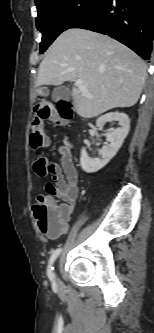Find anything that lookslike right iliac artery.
Returning <instances> with one entry per match:
<instances>
[{
	"label": "right iliac artery",
	"instance_id": "82829eb1",
	"mask_svg": "<svg viewBox=\"0 0 154 333\" xmlns=\"http://www.w3.org/2000/svg\"><path fill=\"white\" fill-rule=\"evenodd\" d=\"M61 250H62L61 248L54 250L50 257L48 268H47V275L51 280L55 279V273L53 271L54 270L53 263L56 260V258L59 256Z\"/></svg>",
	"mask_w": 154,
	"mask_h": 333
}]
</instances>
